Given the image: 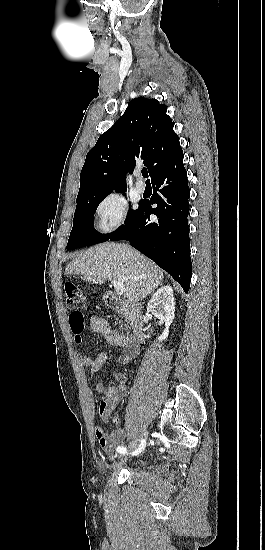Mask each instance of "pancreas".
Instances as JSON below:
<instances>
[{"mask_svg": "<svg viewBox=\"0 0 265 550\" xmlns=\"http://www.w3.org/2000/svg\"><path fill=\"white\" fill-rule=\"evenodd\" d=\"M121 316H122V317H125V318H126V320L128 319V314H127L126 312H124V313H121Z\"/></svg>", "mask_w": 265, "mask_h": 550, "instance_id": "pancreas-1", "label": "pancreas"}]
</instances>
